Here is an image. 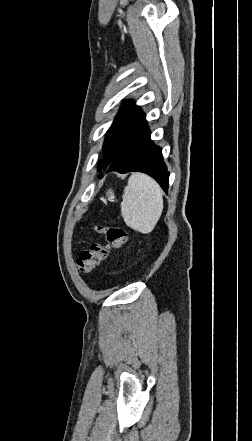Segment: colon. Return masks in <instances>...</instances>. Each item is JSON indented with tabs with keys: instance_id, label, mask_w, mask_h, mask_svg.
I'll return each mask as SVG.
<instances>
[{
	"instance_id": "1",
	"label": "colon",
	"mask_w": 252,
	"mask_h": 441,
	"mask_svg": "<svg viewBox=\"0 0 252 441\" xmlns=\"http://www.w3.org/2000/svg\"><path fill=\"white\" fill-rule=\"evenodd\" d=\"M98 233L105 236L106 243H93L82 251L77 259V267L83 274L91 273L115 249L122 248L128 239L127 232L120 226H97Z\"/></svg>"
}]
</instances>
